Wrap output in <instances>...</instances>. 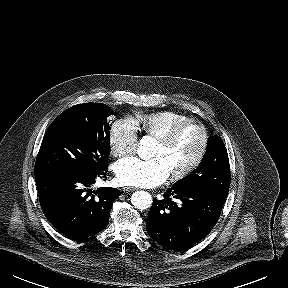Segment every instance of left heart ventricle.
Wrapping results in <instances>:
<instances>
[{"mask_svg":"<svg viewBox=\"0 0 288 288\" xmlns=\"http://www.w3.org/2000/svg\"><path fill=\"white\" fill-rule=\"evenodd\" d=\"M201 144L199 129L190 125L186 127L170 145L156 143L153 156L164 159L170 173L179 171L196 156Z\"/></svg>","mask_w":288,"mask_h":288,"instance_id":"1","label":"left heart ventricle"}]
</instances>
